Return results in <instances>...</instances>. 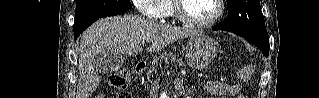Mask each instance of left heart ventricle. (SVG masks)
<instances>
[{
	"label": "left heart ventricle",
	"mask_w": 319,
	"mask_h": 98,
	"mask_svg": "<svg viewBox=\"0 0 319 98\" xmlns=\"http://www.w3.org/2000/svg\"><path fill=\"white\" fill-rule=\"evenodd\" d=\"M182 11L191 19L205 21L215 15L217 5L215 0H184Z\"/></svg>",
	"instance_id": "1"
}]
</instances>
